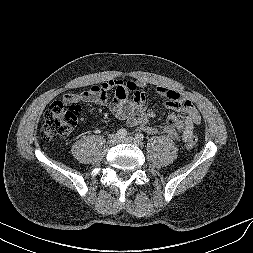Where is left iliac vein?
Listing matches in <instances>:
<instances>
[{
    "mask_svg": "<svg viewBox=\"0 0 253 253\" xmlns=\"http://www.w3.org/2000/svg\"><path fill=\"white\" fill-rule=\"evenodd\" d=\"M122 142H127V143H133L139 147L142 146V143L140 141H138L136 138L132 137V136H126L121 138Z\"/></svg>",
    "mask_w": 253,
    "mask_h": 253,
    "instance_id": "1",
    "label": "left iliac vein"
}]
</instances>
